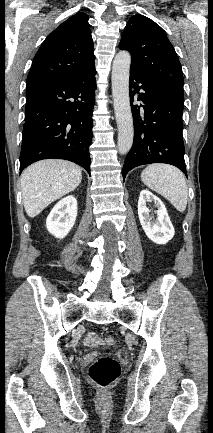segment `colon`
Here are the masks:
<instances>
[{
  "label": "colon",
  "mask_w": 213,
  "mask_h": 433,
  "mask_svg": "<svg viewBox=\"0 0 213 433\" xmlns=\"http://www.w3.org/2000/svg\"><path fill=\"white\" fill-rule=\"evenodd\" d=\"M116 340L112 336L104 338V343L113 346ZM121 367L119 362L110 356H99L89 367V377L100 389L109 388L120 376Z\"/></svg>",
  "instance_id": "obj_1"
}]
</instances>
